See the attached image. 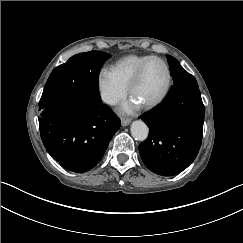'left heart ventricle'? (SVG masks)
<instances>
[{"label":"left heart ventricle","instance_id":"1","mask_svg":"<svg viewBox=\"0 0 243 243\" xmlns=\"http://www.w3.org/2000/svg\"><path fill=\"white\" fill-rule=\"evenodd\" d=\"M168 72L159 61H151L145 67L140 80L133 87L131 96L142 105L156 100L166 89Z\"/></svg>","mask_w":243,"mask_h":243}]
</instances>
